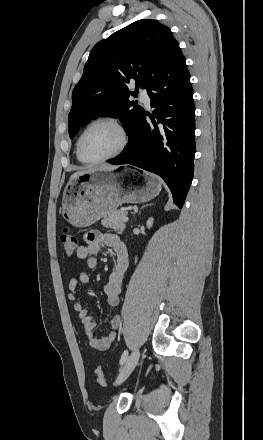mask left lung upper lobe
Here are the masks:
<instances>
[{"label":"left lung upper lobe","instance_id":"1","mask_svg":"<svg viewBox=\"0 0 263 440\" xmlns=\"http://www.w3.org/2000/svg\"><path fill=\"white\" fill-rule=\"evenodd\" d=\"M176 46L170 29L153 19L138 20L98 42L72 93L70 138L100 116L120 117L129 132L144 113L129 100L130 95L150 85ZM130 81L136 84L135 92L128 89Z\"/></svg>","mask_w":263,"mask_h":440}]
</instances>
